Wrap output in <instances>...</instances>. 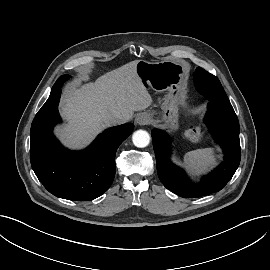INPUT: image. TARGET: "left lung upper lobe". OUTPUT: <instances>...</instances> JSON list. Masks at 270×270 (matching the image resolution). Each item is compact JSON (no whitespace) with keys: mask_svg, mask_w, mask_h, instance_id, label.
Masks as SVG:
<instances>
[{"mask_svg":"<svg viewBox=\"0 0 270 270\" xmlns=\"http://www.w3.org/2000/svg\"><path fill=\"white\" fill-rule=\"evenodd\" d=\"M196 89L209 101L229 103L219 80L204 69L198 67L194 75Z\"/></svg>","mask_w":270,"mask_h":270,"instance_id":"left-lung-upper-lobe-1","label":"left lung upper lobe"}]
</instances>
